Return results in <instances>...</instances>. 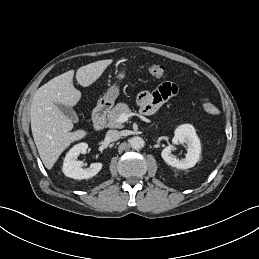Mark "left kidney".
I'll use <instances>...</instances> for the list:
<instances>
[{"label":"left kidney","instance_id":"obj_1","mask_svg":"<svg viewBox=\"0 0 259 259\" xmlns=\"http://www.w3.org/2000/svg\"><path fill=\"white\" fill-rule=\"evenodd\" d=\"M172 144L173 145H169L162 150L161 156L163 160L168 165L178 169H188L194 167L198 162L201 153L200 140L194 127L190 124H183L177 127L174 132ZM178 144H185L187 146L185 158L180 160L172 154V151L175 149L174 145Z\"/></svg>","mask_w":259,"mask_h":259}]
</instances>
